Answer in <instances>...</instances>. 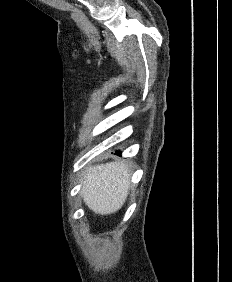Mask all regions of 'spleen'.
Masks as SVG:
<instances>
[{"mask_svg": "<svg viewBox=\"0 0 232 282\" xmlns=\"http://www.w3.org/2000/svg\"><path fill=\"white\" fill-rule=\"evenodd\" d=\"M130 175L129 166L119 162L90 168L81 191L86 205L102 215L119 210L127 197Z\"/></svg>", "mask_w": 232, "mask_h": 282, "instance_id": "spleen-1", "label": "spleen"}]
</instances>
